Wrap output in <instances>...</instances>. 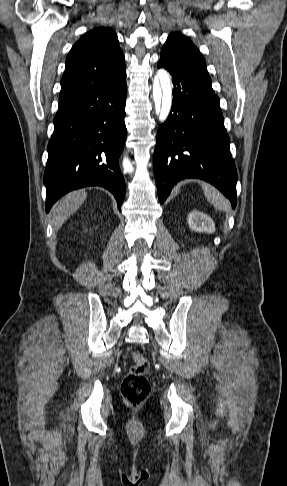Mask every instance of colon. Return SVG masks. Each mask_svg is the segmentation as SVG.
Returning <instances> with one entry per match:
<instances>
[{"label": "colon", "instance_id": "5ec220e1", "mask_svg": "<svg viewBox=\"0 0 287 486\" xmlns=\"http://www.w3.org/2000/svg\"><path fill=\"white\" fill-rule=\"evenodd\" d=\"M132 366L121 384V392L125 400L132 406L141 405L151 392V385L147 378L149 361L140 354L132 355Z\"/></svg>", "mask_w": 287, "mask_h": 486}]
</instances>
